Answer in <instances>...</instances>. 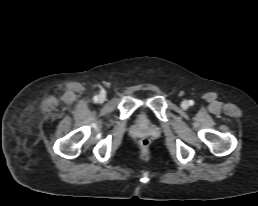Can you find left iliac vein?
Returning a JSON list of instances; mask_svg holds the SVG:
<instances>
[{"label":"left iliac vein","instance_id":"1","mask_svg":"<svg viewBox=\"0 0 258 206\" xmlns=\"http://www.w3.org/2000/svg\"><path fill=\"white\" fill-rule=\"evenodd\" d=\"M181 106H182V108L186 109L188 107V102L187 101H183Z\"/></svg>","mask_w":258,"mask_h":206}]
</instances>
